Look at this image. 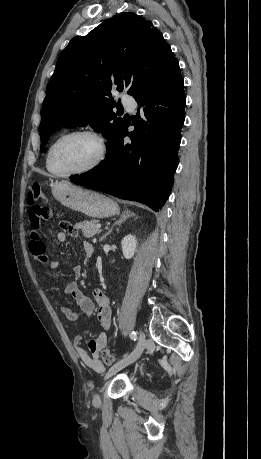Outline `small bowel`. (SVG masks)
Masks as SVG:
<instances>
[{
	"label": "small bowel",
	"mask_w": 261,
	"mask_h": 459,
	"mask_svg": "<svg viewBox=\"0 0 261 459\" xmlns=\"http://www.w3.org/2000/svg\"><path fill=\"white\" fill-rule=\"evenodd\" d=\"M65 232H57L55 239L59 243L66 241ZM29 249L33 257L45 264L49 272L54 271L58 266L56 259L50 260L47 253L45 244L39 234H30ZM83 251L87 257H91L94 253L93 246L88 243H83ZM82 273V267L77 265L73 268V274L75 278H79ZM63 292L73 298L78 310H73L67 306H61L60 311L63 316L69 321H76L81 315L86 318H90L91 315L96 312L97 319L104 330L111 328L112 310L110 307V301L107 295L100 289L93 291V299L88 297L78 286L76 281L67 283ZM83 337L77 335L73 339V348L75 349L79 359L87 366L94 370H102L103 366L99 359V352L105 348L108 343V335L106 332H101L97 337L89 340L88 350L82 346Z\"/></svg>",
	"instance_id": "obj_1"
}]
</instances>
